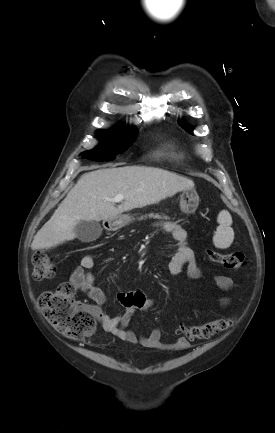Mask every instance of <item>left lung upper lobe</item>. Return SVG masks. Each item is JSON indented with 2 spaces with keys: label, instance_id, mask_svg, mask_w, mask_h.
<instances>
[{
  "label": "left lung upper lobe",
  "instance_id": "5c2ea615",
  "mask_svg": "<svg viewBox=\"0 0 275 433\" xmlns=\"http://www.w3.org/2000/svg\"><path fill=\"white\" fill-rule=\"evenodd\" d=\"M180 125H181V127L184 128V125H183L182 123H181ZM185 130H186L187 132H189L190 134H192V131H190V129L185 128Z\"/></svg>",
  "mask_w": 275,
  "mask_h": 433
}]
</instances>
